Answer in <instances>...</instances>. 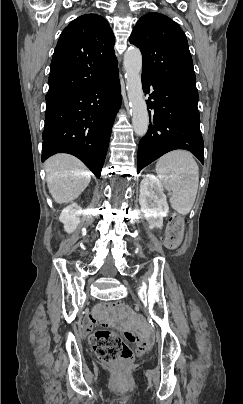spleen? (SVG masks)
<instances>
[{
	"mask_svg": "<svg viewBox=\"0 0 243 404\" xmlns=\"http://www.w3.org/2000/svg\"><path fill=\"white\" fill-rule=\"evenodd\" d=\"M156 174L169 192L171 208L187 216L196 200L199 168L190 152L174 150L159 158Z\"/></svg>",
	"mask_w": 243,
	"mask_h": 404,
	"instance_id": "3e777b00",
	"label": "spleen"
}]
</instances>
